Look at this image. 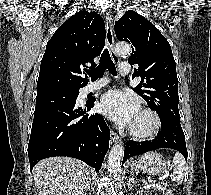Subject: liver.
<instances>
[{
    "label": "liver",
    "instance_id": "liver-1",
    "mask_svg": "<svg viewBox=\"0 0 211 195\" xmlns=\"http://www.w3.org/2000/svg\"><path fill=\"white\" fill-rule=\"evenodd\" d=\"M38 195H84L91 182L89 167L80 160L50 157L33 169Z\"/></svg>",
    "mask_w": 211,
    "mask_h": 195
}]
</instances>
